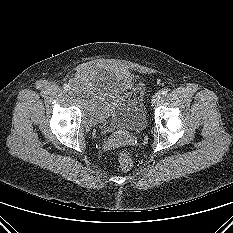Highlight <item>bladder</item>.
I'll list each match as a JSON object with an SVG mask.
<instances>
[{
	"instance_id": "obj_1",
	"label": "bladder",
	"mask_w": 233,
	"mask_h": 233,
	"mask_svg": "<svg viewBox=\"0 0 233 233\" xmlns=\"http://www.w3.org/2000/svg\"><path fill=\"white\" fill-rule=\"evenodd\" d=\"M71 92L89 126L133 132H141L147 126L144 87L127 70L87 64L72 79Z\"/></svg>"
}]
</instances>
